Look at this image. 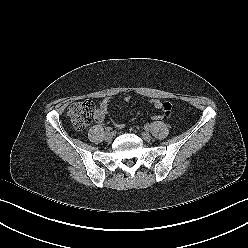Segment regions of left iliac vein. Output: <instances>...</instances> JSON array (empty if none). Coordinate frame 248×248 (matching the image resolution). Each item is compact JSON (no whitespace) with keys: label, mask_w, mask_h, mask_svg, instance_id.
<instances>
[{"label":"left iliac vein","mask_w":248,"mask_h":248,"mask_svg":"<svg viewBox=\"0 0 248 248\" xmlns=\"http://www.w3.org/2000/svg\"><path fill=\"white\" fill-rule=\"evenodd\" d=\"M141 136H142V138H143L145 141H150V140L152 139L151 134L148 133V132H143V133L141 134Z\"/></svg>","instance_id":"1"}]
</instances>
